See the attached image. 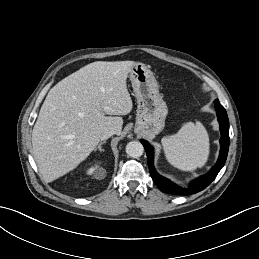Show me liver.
I'll use <instances>...</instances> for the list:
<instances>
[{
    "label": "liver",
    "instance_id": "1",
    "mask_svg": "<svg viewBox=\"0 0 259 259\" xmlns=\"http://www.w3.org/2000/svg\"><path fill=\"white\" fill-rule=\"evenodd\" d=\"M134 65L133 61L93 62L51 88L32 131L33 156L46 182L75 169L105 130L121 134L120 116L133 108L126 80Z\"/></svg>",
    "mask_w": 259,
    "mask_h": 259
}]
</instances>
